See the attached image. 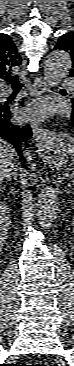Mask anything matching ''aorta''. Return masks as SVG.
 Returning a JSON list of instances; mask_svg holds the SVG:
<instances>
[{"instance_id":"1","label":"aorta","mask_w":74,"mask_h":366,"mask_svg":"<svg viewBox=\"0 0 74 366\" xmlns=\"http://www.w3.org/2000/svg\"><path fill=\"white\" fill-rule=\"evenodd\" d=\"M70 54L65 50H53L45 62V75L49 87H57L71 68ZM38 224L48 230L53 226L58 214V200L56 190L51 185L41 188L37 202Z\"/></svg>"}]
</instances>
